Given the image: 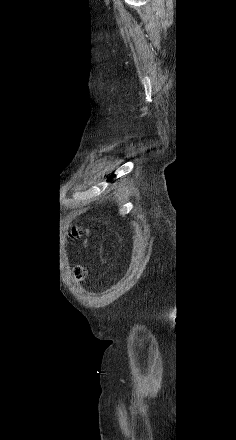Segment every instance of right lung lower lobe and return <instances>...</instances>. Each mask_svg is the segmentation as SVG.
Listing matches in <instances>:
<instances>
[{"label": "right lung lower lobe", "mask_w": 236, "mask_h": 440, "mask_svg": "<svg viewBox=\"0 0 236 440\" xmlns=\"http://www.w3.org/2000/svg\"><path fill=\"white\" fill-rule=\"evenodd\" d=\"M112 179V176H110L109 178H108V180H111Z\"/></svg>", "instance_id": "98d812e1"}]
</instances>
